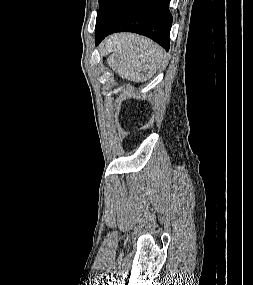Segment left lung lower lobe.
<instances>
[{"instance_id":"1","label":"left lung lower lobe","mask_w":253,"mask_h":285,"mask_svg":"<svg viewBox=\"0 0 253 285\" xmlns=\"http://www.w3.org/2000/svg\"><path fill=\"white\" fill-rule=\"evenodd\" d=\"M170 0H107L96 19L98 45L114 32H135L147 36L169 50L172 16Z\"/></svg>"}]
</instances>
